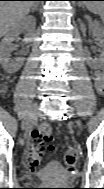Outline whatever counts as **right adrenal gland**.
Wrapping results in <instances>:
<instances>
[{
	"label": "right adrenal gland",
	"instance_id": "1",
	"mask_svg": "<svg viewBox=\"0 0 104 189\" xmlns=\"http://www.w3.org/2000/svg\"><path fill=\"white\" fill-rule=\"evenodd\" d=\"M38 5H34L32 8H31V12H34V11H38Z\"/></svg>",
	"mask_w": 104,
	"mask_h": 189
}]
</instances>
